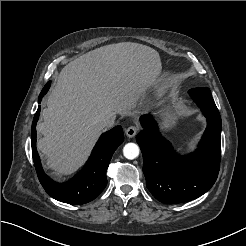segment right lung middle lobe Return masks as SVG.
Masks as SVG:
<instances>
[{"label":"right lung middle lobe","instance_id":"right-lung-middle-lobe-1","mask_svg":"<svg viewBox=\"0 0 246 246\" xmlns=\"http://www.w3.org/2000/svg\"><path fill=\"white\" fill-rule=\"evenodd\" d=\"M46 85H48V87H50V82H48ZM45 87V86H44Z\"/></svg>","mask_w":246,"mask_h":246}]
</instances>
